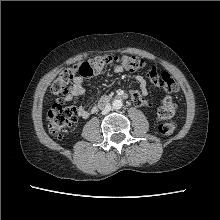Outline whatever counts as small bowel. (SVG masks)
<instances>
[{"label":"small bowel","instance_id":"c3829d8e","mask_svg":"<svg viewBox=\"0 0 220 220\" xmlns=\"http://www.w3.org/2000/svg\"><path fill=\"white\" fill-rule=\"evenodd\" d=\"M104 65L100 66H94L93 69H91L90 73L87 75L79 74L74 78V80L71 83L70 91L68 95V100L72 101L74 104L79 103V99L85 95L86 89L84 87V80L86 78H89L91 76H97L103 71ZM115 73H122L123 67L122 65L118 64L114 67ZM136 80L139 83V89L137 90H131L129 92L130 98L133 101V103L137 106H143L146 105V100L144 99V96L147 94V83L143 76L137 75ZM77 115L80 118H88L90 114L95 113L97 111V107L93 106L90 109L84 108L82 106H78L76 108Z\"/></svg>","mask_w":220,"mask_h":220}]
</instances>
